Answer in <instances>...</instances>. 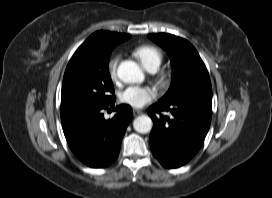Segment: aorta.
Returning <instances> with one entry per match:
<instances>
[{
	"instance_id": "obj_1",
	"label": "aorta",
	"mask_w": 272,
	"mask_h": 198,
	"mask_svg": "<svg viewBox=\"0 0 272 198\" xmlns=\"http://www.w3.org/2000/svg\"><path fill=\"white\" fill-rule=\"evenodd\" d=\"M117 76L125 83H141L144 81V73L133 61H123L117 69ZM152 120L149 116L141 115L133 122L134 129L139 133H148L152 129Z\"/></svg>"
}]
</instances>
